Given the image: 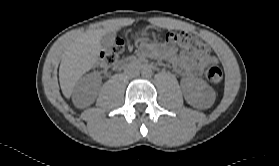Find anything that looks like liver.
Wrapping results in <instances>:
<instances>
[{"label": "liver", "instance_id": "liver-1", "mask_svg": "<svg viewBox=\"0 0 279 166\" xmlns=\"http://www.w3.org/2000/svg\"><path fill=\"white\" fill-rule=\"evenodd\" d=\"M120 28L119 20H107L103 28L88 30L69 43L59 67V81L65 97L71 96L79 79L97 62L102 36L108 32L116 33Z\"/></svg>", "mask_w": 279, "mask_h": 166}]
</instances>
